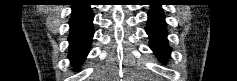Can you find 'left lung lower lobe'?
<instances>
[{"label":"left lung lower lobe","instance_id":"left-lung-lower-lobe-1","mask_svg":"<svg viewBox=\"0 0 237 81\" xmlns=\"http://www.w3.org/2000/svg\"><path fill=\"white\" fill-rule=\"evenodd\" d=\"M148 16L147 33L150 37V47L154 53L162 60L170 55L167 44V31L164 15L160 5H152Z\"/></svg>","mask_w":237,"mask_h":81}]
</instances>
